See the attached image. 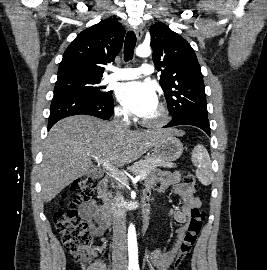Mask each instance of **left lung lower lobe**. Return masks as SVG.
<instances>
[{
  "instance_id": "obj_1",
  "label": "left lung lower lobe",
  "mask_w": 267,
  "mask_h": 270,
  "mask_svg": "<svg viewBox=\"0 0 267 270\" xmlns=\"http://www.w3.org/2000/svg\"><path fill=\"white\" fill-rule=\"evenodd\" d=\"M177 125H192L204 130L210 136V124L208 116L200 114H187L172 120L164 127H173Z\"/></svg>"
}]
</instances>
